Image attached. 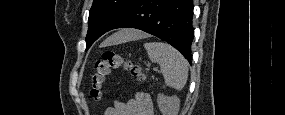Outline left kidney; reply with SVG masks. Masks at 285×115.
<instances>
[{
    "label": "left kidney",
    "instance_id": "left-kidney-1",
    "mask_svg": "<svg viewBox=\"0 0 285 115\" xmlns=\"http://www.w3.org/2000/svg\"><path fill=\"white\" fill-rule=\"evenodd\" d=\"M158 107L163 115H177L180 106V100L176 96H165L158 94Z\"/></svg>",
    "mask_w": 285,
    "mask_h": 115
}]
</instances>
